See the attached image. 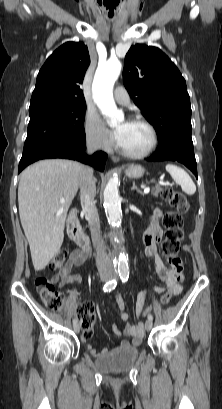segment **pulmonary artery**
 <instances>
[{
	"label": "pulmonary artery",
	"instance_id": "obj_1",
	"mask_svg": "<svg viewBox=\"0 0 222 409\" xmlns=\"http://www.w3.org/2000/svg\"><path fill=\"white\" fill-rule=\"evenodd\" d=\"M114 98L120 105H128L130 103V97L128 92L123 86H117L114 90Z\"/></svg>",
	"mask_w": 222,
	"mask_h": 409
}]
</instances>
